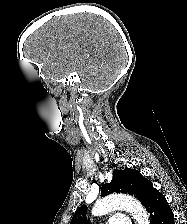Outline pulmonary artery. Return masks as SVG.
Segmentation results:
<instances>
[{
  "instance_id": "e3ab8cb5",
  "label": "pulmonary artery",
  "mask_w": 187,
  "mask_h": 224,
  "mask_svg": "<svg viewBox=\"0 0 187 224\" xmlns=\"http://www.w3.org/2000/svg\"><path fill=\"white\" fill-rule=\"evenodd\" d=\"M105 224H131L130 221H128L126 218H120V217H112L108 222Z\"/></svg>"
}]
</instances>
